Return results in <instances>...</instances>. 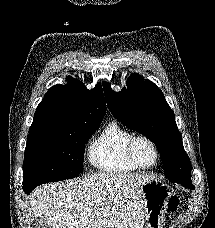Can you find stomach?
Here are the masks:
<instances>
[{
	"instance_id": "obj_1",
	"label": "stomach",
	"mask_w": 215,
	"mask_h": 228,
	"mask_svg": "<svg viewBox=\"0 0 215 228\" xmlns=\"http://www.w3.org/2000/svg\"><path fill=\"white\" fill-rule=\"evenodd\" d=\"M172 196L173 190L161 180H150L142 186L144 228H163Z\"/></svg>"
}]
</instances>
